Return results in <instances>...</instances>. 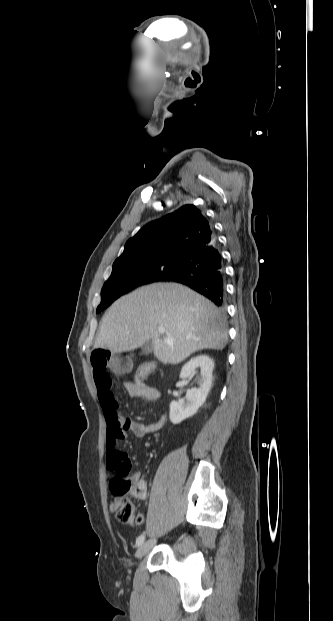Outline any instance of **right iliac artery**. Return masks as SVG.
<instances>
[{
  "label": "right iliac artery",
  "instance_id": "obj_1",
  "mask_svg": "<svg viewBox=\"0 0 333 621\" xmlns=\"http://www.w3.org/2000/svg\"><path fill=\"white\" fill-rule=\"evenodd\" d=\"M145 540V535L141 534L140 536H138V538L136 539V546H140Z\"/></svg>",
  "mask_w": 333,
  "mask_h": 621
}]
</instances>
